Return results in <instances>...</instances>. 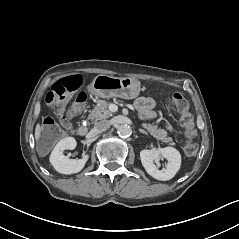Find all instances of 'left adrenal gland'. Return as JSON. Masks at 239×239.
<instances>
[{
    "label": "left adrenal gland",
    "instance_id": "left-adrenal-gland-1",
    "mask_svg": "<svg viewBox=\"0 0 239 239\" xmlns=\"http://www.w3.org/2000/svg\"><path fill=\"white\" fill-rule=\"evenodd\" d=\"M139 131L141 132V133H144V134H146V135H148V133L145 131V130H143V129H139Z\"/></svg>",
    "mask_w": 239,
    "mask_h": 239
}]
</instances>
